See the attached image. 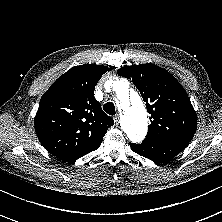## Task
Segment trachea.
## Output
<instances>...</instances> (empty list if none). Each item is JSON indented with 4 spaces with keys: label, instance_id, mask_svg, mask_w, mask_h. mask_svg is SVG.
<instances>
[{
    "label": "trachea",
    "instance_id": "1",
    "mask_svg": "<svg viewBox=\"0 0 222 222\" xmlns=\"http://www.w3.org/2000/svg\"><path fill=\"white\" fill-rule=\"evenodd\" d=\"M103 110L109 114V115H115L116 114V109H115V105L112 102H107L106 104H104L103 106Z\"/></svg>",
    "mask_w": 222,
    "mask_h": 222
}]
</instances>
